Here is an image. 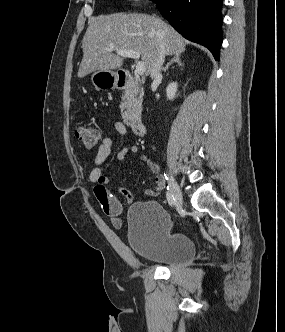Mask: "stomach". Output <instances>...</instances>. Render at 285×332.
I'll return each mask as SVG.
<instances>
[{
	"label": "stomach",
	"instance_id": "1",
	"mask_svg": "<svg viewBox=\"0 0 285 332\" xmlns=\"http://www.w3.org/2000/svg\"><path fill=\"white\" fill-rule=\"evenodd\" d=\"M118 81V73L110 70H98L91 75V82L97 90L114 89L118 86Z\"/></svg>",
	"mask_w": 285,
	"mask_h": 332
}]
</instances>
